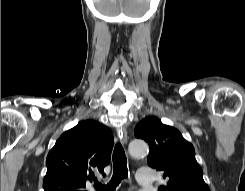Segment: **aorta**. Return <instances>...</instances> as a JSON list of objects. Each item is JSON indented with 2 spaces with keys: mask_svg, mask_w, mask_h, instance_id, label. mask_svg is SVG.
<instances>
[{
  "mask_svg": "<svg viewBox=\"0 0 245 191\" xmlns=\"http://www.w3.org/2000/svg\"><path fill=\"white\" fill-rule=\"evenodd\" d=\"M128 150L132 157L141 158L148 154L149 148L146 142L133 140L129 143Z\"/></svg>",
  "mask_w": 245,
  "mask_h": 191,
  "instance_id": "1",
  "label": "aorta"
}]
</instances>
